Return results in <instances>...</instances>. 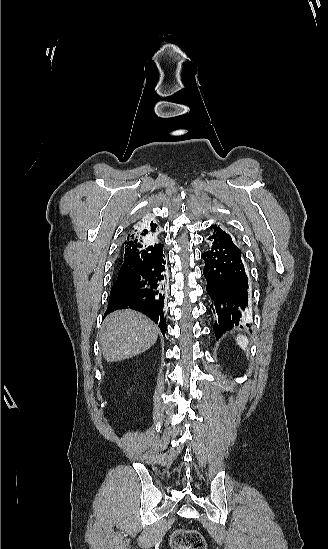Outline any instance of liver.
Wrapping results in <instances>:
<instances>
[{
    "instance_id": "6515ba94",
    "label": "liver",
    "mask_w": 328,
    "mask_h": 549,
    "mask_svg": "<svg viewBox=\"0 0 328 549\" xmlns=\"http://www.w3.org/2000/svg\"><path fill=\"white\" fill-rule=\"evenodd\" d=\"M100 337L105 361L116 363L148 351L156 343L158 333L151 319L137 311L122 309L106 317Z\"/></svg>"
}]
</instances>
